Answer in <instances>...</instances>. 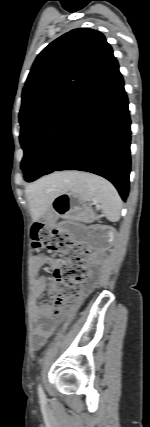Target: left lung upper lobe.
<instances>
[{
	"mask_svg": "<svg viewBox=\"0 0 150 427\" xmlns=\"http://www.w3.org/2000/svg\"><path fill=\"white\" fill-rule=\"evenodd\" d=\"M114 58L104 35L89 28L71 30L41 51L23 88L19 113L23 171L43 129Z\"/></svg>",
	"mask_w": 150,
	"mask_h": 427,
	"instance_id": "1",
	"label": "left lung upper lobe"
}]
</instances>
